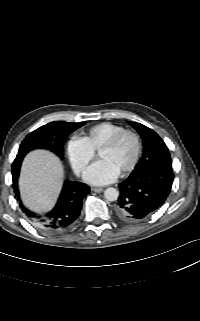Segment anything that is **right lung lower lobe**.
Returning a JSON list of instances; mask_svg holds the SVG:
<instances>
[{
	"label": "right lung lower lobe",
	"mask_w": 200,
	"mask_h": 321,
	"mask_svg": "<svg viewBox=\"0 0 200 321\" xmlns=\"http://www.w3.org/2000/svg\"><path fill=\"white\" fill-rule=\"evenodd\" d=\"M24 156H18L12 165L13 189L20 207L28 219L38 228L46 232H60L69 228L78 218L83 198L90 192V188L81 182L66 180L55 207L48 213L40 215L34 213L22 204L18 190V177Z\"/></svg>",
	"instance_id": "98d812e1"
}]
</instances>
